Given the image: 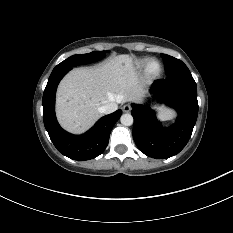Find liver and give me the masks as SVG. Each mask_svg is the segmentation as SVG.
<instances>
[{
    "label": "liver",
    "instance_id": "liver-1",
    "mask_svg": "<svg viewBox=\"0 0 233 233\" xmlns=\"http://www.w3.org/2000/svg\"><path fill=\"white\" fill-rule=\"evenodd\" d=\"M144 92L133 59L118 55L95 67L73 69L64 77L57 91V118L64 129L80 134L101 117V106L140 101ZM171 115L168 110L162 112V117Z\"/></svg>",
    "mask_w": 233,
    "mask_h": 233
}]
</instances>
